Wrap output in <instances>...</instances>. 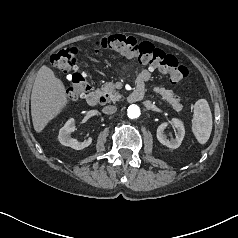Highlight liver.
<instances>
[{"label":"liver","mask_w":238,"mask_h":238,"mask_svg":"<svg viewBox=\"0 0 238 238\" xmlns=\"http://www.w3.org/2000/svg\"><path fill=\"white\" fill-rule=\"evenodd\" d=\"M66 106V89L54 72L43 65L36 76L31 94L34 130L40 133Z\"/></svg>","instance_id":"liver-1"}]
</instances>
